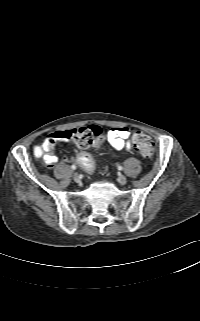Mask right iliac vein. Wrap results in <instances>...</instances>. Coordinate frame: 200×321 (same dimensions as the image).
<instances>
[{"label": "right iliac vein", "mask_w": 200, "mask_h": 321, "mask_svg": "<svg viewBox=\"0 0 200 321\" xmlns=\"http://www.w3.org/2000/svg\"><path fill=\"white\" fill-rule=\"evenodd\" d=\"M73 179H74L76 182H79L80 177H79V175H78L77 173H74V174H73Z\"/></svg>", "instance_id": "right-iliac-vein-1"}]
</instances>
